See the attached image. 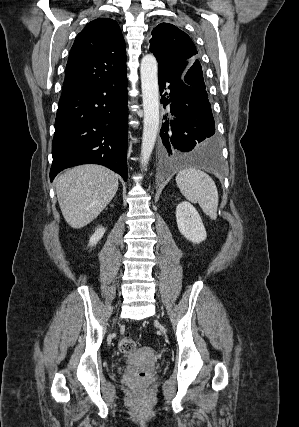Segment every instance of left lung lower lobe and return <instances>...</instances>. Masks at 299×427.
<instances>
[{
	"label": "left lung lower lobe",
	"mask_w": 299,
	"mask_h": 427,
	"mask_svg": "<svg viewBox=\"0 0 299 427\" xmlns=\"http://www.w3.org/2000/svg\"><path fill=\"white\" fill-rule=\"evenodd\" d=\"M187 62L167 65L159 63L160 94L169 82L170 90L161 97L170 116L163 117L160 131L161 158L166 163L182 161L207 170L220 167L219 142L206 90L185 83Z\"/></svg>",
	"instance_id": "1"
}]
</instances>
